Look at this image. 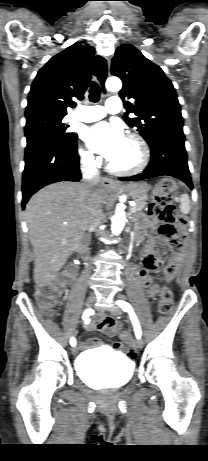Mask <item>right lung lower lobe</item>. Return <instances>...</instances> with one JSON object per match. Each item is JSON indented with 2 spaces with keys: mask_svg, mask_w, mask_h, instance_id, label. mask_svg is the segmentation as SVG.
<instances>
[{
  "mask_svg": "<svg viewBox=\"0 0 208 461\" xmlns=\"http://www.w3.org/2000/svg\"><path fill=\"white\" fill-rule=\"evenodd\" d=\"M22 179V207L42 187L59 181H79L77 143L44 139L25 150Z\"/></svg>",
  "mask_w": 208,
  "mask_h": 461,
  "instance_id": "98d812e1",
  "label": "right lung lower lobe"
}]
</instances>
